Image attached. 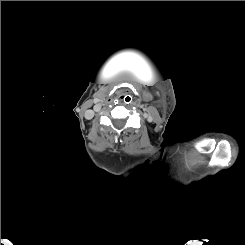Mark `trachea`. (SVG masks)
<instances>
[{
    "label": "trachea",
    "instance_id": "1",
    "mask_svg": "<svg viewBox=\"0 0 245 245\" xmlns=\"http://www.w3.org/2000/svg\"><path fill=\"white\" fill-rule=\"evenodd\" d=\"M123 101H124V103L129 104V103H131L132 98L129 95H127L126 97H124Z\"/></svg>",
    "mask_w": 245,
    "mask_h": 245
}]
</instances>
